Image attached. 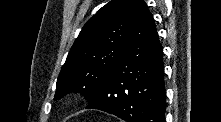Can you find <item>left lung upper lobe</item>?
I'll list each match as a JSON object with an SVG mask.
<instances>
[{"label":"left lung upper lobe","instance_id":"1","mask_svg":"<svg viewBox=\"0 0 221 122\" xmlns=\"http://www.w3.org/2000/svg\"><path fill=\"white\" fill-rule=\"evenodd\" d=\"M141 0H111L82 28L57 79L55 100L82 92L88 102L100 92L121 56Z\"/></svg>","mask_w":221,"mask_h":122}]
</instances>
